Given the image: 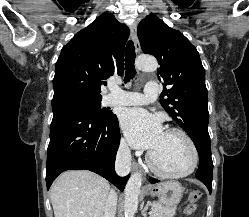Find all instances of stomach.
Segmentation results:
<instances>
[{
	"mask_svg": "<svg viewBox=\"0 0 249 217\" xmlns=\"http://www.w3.org/2000/svg\"><path fill=\"white\" fill-rule=\"evenodd\" d=\"M147 192L151 196H156L159 202L166 207L176 206L183 196V187L175 180H170L154 186H147Z\"/></svg>",
	"mask_w": 249,
	"mask_h": 217,
	"instance_id": "obj_1",
	"label": "stomach"
}]
</instances>
